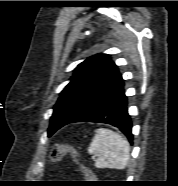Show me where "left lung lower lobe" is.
<instances>
[{"label": "left lung lower lobe", "mask_w": 178, "mask_h": 186, "mask_svg": "<svg viewBox=\"0 0 178 186\" xmlns=\"http://www.w3.org/2000/svg\"><path fill=\"white\" fill-rule=\"evenodd\" d=\"M124 87L75 117L74 122L105 123L117 127L132 143V123Z\"/></svg>", "instance_id": "1"}]
</instances>
